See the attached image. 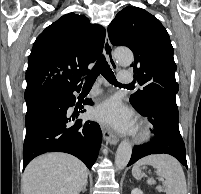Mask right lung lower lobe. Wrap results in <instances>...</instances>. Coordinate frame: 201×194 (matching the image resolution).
I'll list each match as a JSON object with an SVG mask.
<instances>
[{"instance_id":"98d812e1","label":"right lung lower lobe","mask_w":201,"mask_h":194,"mask_svg":"<svg viewBox=\"0 0 201 194\" xmlns=\"http://www.w3.org/2000/svg\"><path fill=\"white\" fill-rule=\"evenodd\" d=\"M74 91L79 92L80 86L74 89L39 87L25 91L27 113L23 168L33 158L47 152L72 154L89 169L95 163L102 133L93 121L79 119L69 123L67 110L75 104ZM84 104L92 105L93 102L86 99Z\"/></svg>"}]
</instances>
